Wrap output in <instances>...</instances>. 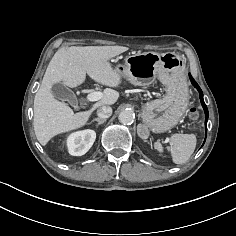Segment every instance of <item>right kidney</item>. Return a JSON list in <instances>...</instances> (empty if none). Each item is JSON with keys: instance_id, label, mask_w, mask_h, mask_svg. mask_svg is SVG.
I'll return each instance as SVG.
<instances>
[{"instance_id": "ca27d5eb", "label": "right kidney", "mask_w": 236, "mask_h": 236, "mask_svg": "<svg viewBox=\"0 0 236 236\" xmlns=\"http://www.w3.org/2000/svg\"><path fill=\"white\" fill-rule=\"evenodd\" d=\"M96 133L93 130H83L72 133L67 138V147L71 155H84L93 145Z\"/></svg>"}]
</instances>
